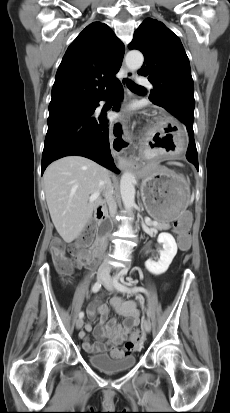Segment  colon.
<instances>
[{
  "instance_id": "colon-1",
  "label": "colon",
  "mask_w": 230,
  "mask_h": 413,
  "mask_svg": "<svg viewBox=\"0 0 230 413\" xmlns=\"http://www.w3.org/2000/svg\"><path fill=\"white\" fill-rule=\"evenodd\" d=\"M190 223V218L187 214H183L176 222L175 229L179 232V242L178 250L180 252H188L192 246V241L187 235V229ZM93 240V230L90 229L88 232L83 234L78 241L72 247V253L75 259L79 261H87L89 259L88 247ZM50 254L56 270L64 277L71 274L73 270L72 261L65 254V247L62 242L54 241ZM142 340L141 332L137 331L134 333L132 339L127 342L126 349L132 351L140 347Z\"/></svg>"
}]
</instances>
